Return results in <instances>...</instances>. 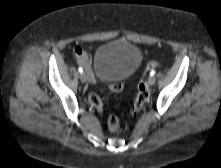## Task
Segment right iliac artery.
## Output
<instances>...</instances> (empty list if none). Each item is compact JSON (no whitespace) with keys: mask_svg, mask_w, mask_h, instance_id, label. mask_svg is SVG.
Listing matches in <instances>:
<instances>
[{"mask_svg":"<svg viewBox=\"0 0 221 168\" xmlns=\"http://www.w3.org/2000/svg\"><path fill=\"white\" fill-rule=\"evenodd\" d=\"M78 71H79L80 73H83L82 67H79V68H78Z\"/></svg>","mask_w":221,"mask_h":168,"instance_id":"right-iliac-artery-1","label":"right iliac artery"}]
</instances>
